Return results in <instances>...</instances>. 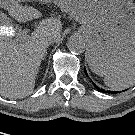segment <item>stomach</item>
<instances>
[{"instance_id": "stomach-1", "label": "stomach", "mask_w": 135, "mask_h": 135, "mask_svg": "<svg viewBox=\"0 0 135 135\" xmlns=\"http://www.w3.org/2000/svg\"><path fill=\"white\" fill-rule=\"evenodd\" d=\"M38 1L55 3L81 24L80 32L88 45V63L96 74H116L135 64L132 0Z\"/></svg>"}]
</instances>
